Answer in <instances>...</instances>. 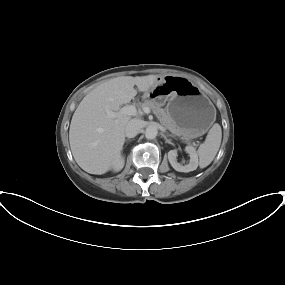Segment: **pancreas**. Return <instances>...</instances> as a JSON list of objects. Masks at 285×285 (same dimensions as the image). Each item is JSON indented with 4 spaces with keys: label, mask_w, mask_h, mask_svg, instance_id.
<instances>
[{
    "label": "pancreas",
    "mask_w": 285,
    "mask_h": 285,
    "mask_svg": "<svg viewBox=\"0 0 285 285\" xmlns=\"http://www.w3.org/2000/svg\"><path fill=\"white\" fill-rule=\"evenodd\" d=\"M141 107H148L150 110H152L156 117L159 119L160 123L174 135L182 137L183 139H187L186 134L174 124L171 117L163 108L160 107V105L146 100L144 103H142Z\"/></svg>",
    "instance_id": "pancreas-1"
}]
</instances>
